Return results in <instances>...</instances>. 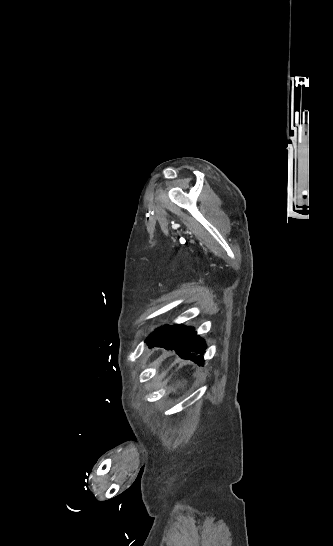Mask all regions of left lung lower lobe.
<instances>
[{
    "mask_svg": "<svg viewBox=\"0 0 333 546\" xmlns=\"http://www.w3.org/2000/svg\"><path fill=\"white\" fill-rule=\"evenodd\" d=\"M145 342L150 344V348L174 349L181 358L190 359L201 366L203 365V355L207 346L204 339L196 334L193 327L183 324L163 325L157 328Z\"/></svg>",
    "mask_w": 333,
    "mask_h": 546,
    "instance_id": "obj_1",
    "label": "left lung lower lobe"
}]
</instances>
